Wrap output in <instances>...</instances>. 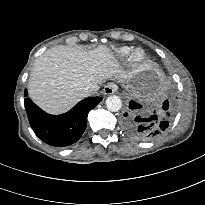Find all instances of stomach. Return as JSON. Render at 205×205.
<instances>
[{
    "instance_id": "1",
    "label": "stomach",
    "mask_w": 205,
    "mask_h": 205,
    "mask_svg": "<svg viewBox=\"0 0 205 205\" xmlns=\"http://www.w3.org/2000/svg\"><path fill=\"white\" fill-rule=\"evenodd\" d=\"M150 69H144L138 73L130 84V88L138 94H151L155 86Z\"/></svg>"
}]
</instances>
